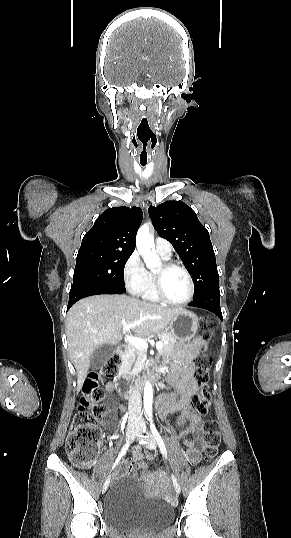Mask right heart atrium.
Masks as SVG:
<instances>
[{"instance_id":"obj_1","label":"right heart atrium","mask_w":291,"mask_h":538,"mask_svg":"<svg viewBox=\"0 0 291 538\" xmlns=\"http://www.w3.org/2000/svg\"><path fill=\"white\" fill-rule=\"evenodd\" d=\"M122 276L127 290L133 295H141L147 283L148 272L136 250L126 259Z\"/></svg>"}]
</instances>
